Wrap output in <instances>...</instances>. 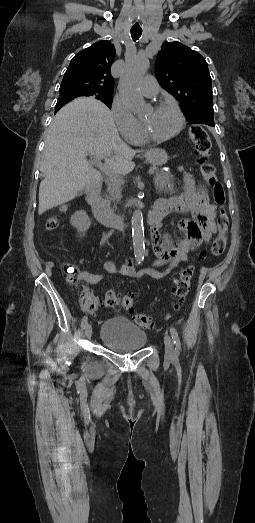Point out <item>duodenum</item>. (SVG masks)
I'll return each instance as SVG.
<instances>
[{
  "mask_svg": "<svg viewBox=\"0 0 255 523\" xmlns=\"http://www.w3.org/2000/svg\"><path fill=\"white\" fill-rule=\"evenodd\" d=\"M86 201L90 205L94 217L100 224L114 228L123 226L122 218L112 212L101 197V176L99 173L94 174L88 182ZM170 211L171 202L169 199L157 200L147 213V223L151 227H156Z\"/></svg>",
  "mask_w": 255,
  "mask_h": 523,
  "instance_id": "410a0bca",
  "label": "duodenum"
}]
</instances>
